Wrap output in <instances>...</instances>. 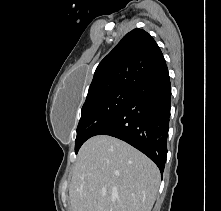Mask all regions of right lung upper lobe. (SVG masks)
Masks as SVG:
<instances>
[{
    "label": "right lung upper lobe",
    "instance_id": "cb5924a9",
    "mask_svg": "<svg viewBox=\"0 0 221 211\" xmlns=\"http://www.w3.org/2000/svg\"><path fill=\"white\" fill-rule=\"evenodd\" d=\"M168 72L163 54L150 34L127 33L96 68L87 99L117 88L136 85Z\"/></svg>",
    "mask_w": 221,
    "mask_h": 211
}]
</instances>
